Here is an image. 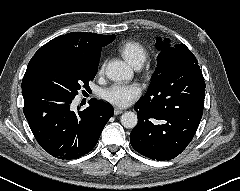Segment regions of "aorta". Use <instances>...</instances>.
Returning <instances> with one entry per match:
<instances>
[{
	"label": "aorta",
	"mask_w": 240,
	"mask_h": 191,
	"mask_svg": "<svg viewBox=\"0 0 240 191\" xmlns=\"http://www.w3.org/2000/svg\"><path fill=\"white\" fill-rule=\"evenodd\" d=\"M106 75L113 81L129 80L133 77V71L125 62L114 60L108 63L106 67ZM137 123L138 118L134 112H125L121 116V124L125 128L132 129Z\"/></svg>",
	"instance_id": "1"
}]
</instances>
